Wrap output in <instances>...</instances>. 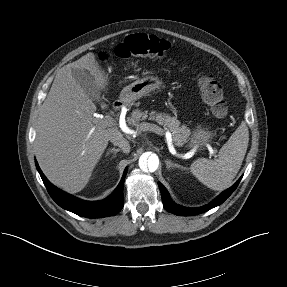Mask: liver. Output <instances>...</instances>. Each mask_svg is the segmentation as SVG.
<instances>
[{"instance_id": "6515ba94", "label": "liver", "mask_w": 287, "mask_h": 287, "mask_svg": "<svg viewBox=\"0 0 287 287\" xmlns=\"http://www.w3.org/2000/svg\"><path fill=\"white\" fill-rule=\"evenodd\" d=\"M73 69L88 70L96 86L106 90L108 76L94 53L63 66L41 107L35 138L43 173L69 193L84 189L111 137H123L117 127L102 128L96 123V105L76 82Z\"/></svg>"}]
</instances>
